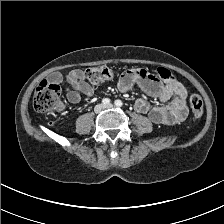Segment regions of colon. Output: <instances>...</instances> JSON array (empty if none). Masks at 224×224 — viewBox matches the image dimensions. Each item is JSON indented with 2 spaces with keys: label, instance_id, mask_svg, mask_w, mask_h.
Returning <instances> with one entry per match:
<instances>
[{
  "label": "colon",
  "instance_id": "colon-1",
  "mask_svg": "<svg viewBox=\"0 0 224 224\" xmlns=\"http://www.w3.org/2000/svg\"><path fill=\"white\" fill-rule=\"evenodd\" d=\"M160 79L170 82L174 79L170 70L160 67L157 70ZM84 78L92 84L109 81L113 79L114 72L106 66L89 67L83 72ZM62 105L60 86L55 83L42 81L36 88L33 97V106L37 112L47 113L59 109ZM190 108L195 120H199L203 114V100L200 95L190 96Z\"/></svg>",
  "mask_w": 224,
  "mask_h": 224
}]
</instances>
